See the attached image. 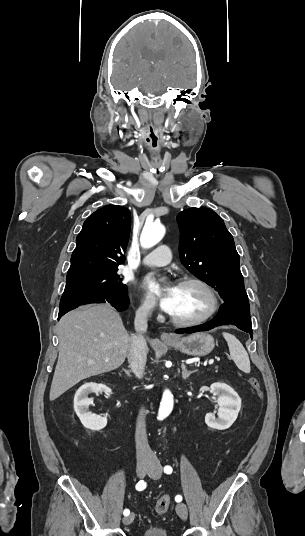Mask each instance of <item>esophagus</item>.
<instances>
[{"label": "esophagus", "mask_w": 305, "mask_h": 536, "mask_svg": "<svg viewBox=\"0 0 305 536\" xmlns=\"http://www.w3.org/2000/svg\"><path fill=\"white\" fill-rule=\"evenodd\" d=\"M161 341L163 342H172L174 338L168 333L162 332L160 335Z\"/></svg>", "instance_id": "1"}]
</instances>
